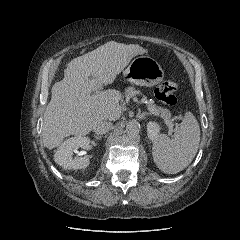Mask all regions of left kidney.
<instances>
[{"instance_id": "5707ae66", "label": "left kidney", "mask_w": 240, "mask_h": 240, "mask_svg": "<svg viewBox=\"0 0 240 240\" xmlns=\"http://www.w3.org/2000/svg\"><path fill=\"white\" fill-rule=\"evenodd\" d=\"M160 126L155 121H150L147 123V135L148 138L154 141L156 138L159 137Z\"/></svg>"}]
</instances>
